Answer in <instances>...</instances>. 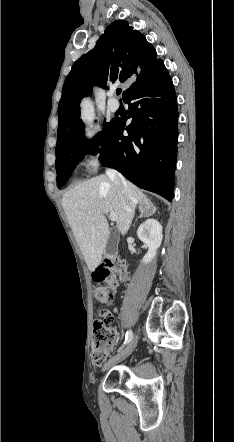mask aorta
<instances>
[{"label": "aorta", "instance_id": "aorta-1", "mask_svg": "<svg viewBox=\"0 0 234 442\" xmlns=\"http://www.w3.org/2000/svg\"><path fill=\"white\" fill-rule=\"evenodd\" d=\"M81 118L88 125H90L93 122L94 113H93L92 104L89 100L82 101Z\"/></svg>", "mask_w": 234, "mask_h": 442}]
</instances>
